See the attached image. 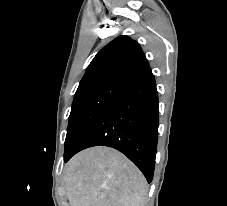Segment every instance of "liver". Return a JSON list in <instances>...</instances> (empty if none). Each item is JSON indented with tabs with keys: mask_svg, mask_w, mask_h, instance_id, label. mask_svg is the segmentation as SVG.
<instances>
[{
	"mask_svg": "<svg viewBox=\"0 0 227 206\" xmlns=\"http://www.w3.org/2000/svg\"><path fill=\"white\" fill-rule=\"evenodd\" d=\"M64 173L70 206H145V177L115 149H86L67 163Z\"/></svg>",
	"mask_w": 227,
	"mask_h": 206,
	"instance_id": "1",
	"label": "liver"
}]
</instances>
